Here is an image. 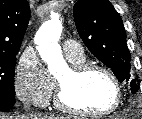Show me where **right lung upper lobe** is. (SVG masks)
Wrapping results in <instances>:
<instances>
[{"instance_id":"cb5924a9","label":"right lung upper lobe","mask_w":142,"mask_h":119,"mask_svg":"<svg viewBox=\"0 0 142 119\" xmlns=\"http://www.w3.org/2000/svg\"><path fill=\"white\" fill-rule=\"evenodd\" d=\"M30 17L27 0H0V52H18Z\"/></svg>"}]
</instances>
